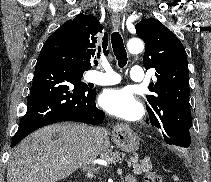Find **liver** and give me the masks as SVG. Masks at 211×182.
Here are the masks:
<instances>
[{
  "label": "liver",
  "instance_id": "1",
  "mask_svg": "<svg viewBox=\"0 0 211 182\" xmlns=\"http://www.w3.org/2000/svg\"><path fill=\"white\" fill-rule=\"evenodd\" d=\"M88 125H49L32 133L15 147L7 168V182H56L74 173L110 147L108 131ZM56 135V136H55Z\"/></svg>",
  "mask_w": 211,
  "mask_h": 182
}]
</instances>
